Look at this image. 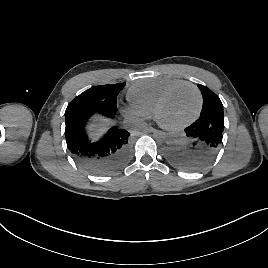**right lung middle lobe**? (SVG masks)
Wrapping results in <instances>:
<instances>
[{
	"mask_svg": "<svg viewBox=\"0 0 268 268\" xmlns=\"http://www.w3.org/2000/svg\"><path fill=\"white\" fill-rule=\"evenodd\" d=\"M125 83L94 86L74 98L67 109L79 104H88L101 109L116 111V100Z\"/></svg>",
	"mask_w": 268,
	"mask_h": 268,
	"instance_id": "right-lung-middle-lobe-1",
	"label": "right lung middle lobe"
}]
</instances>
